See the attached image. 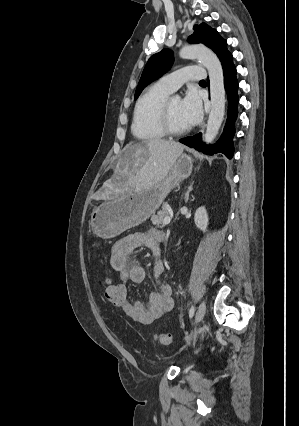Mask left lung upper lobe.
I'll return each instance as SVG.
<instances>
[{"label":"left lung upper lobe","instance_id":"1","mask_svg":"<svg viewBox=\"0 0 299 426\" xmlns=\"http://www.w3.org/2000/svg\"><path fill=\"white\" fill-rule=\"evenodd\" d=\"M193 29L194 33L188 38L190 43L204 44L212 49L217 56L221 51L227 49L226 40L220 37L218 32L207 24L201 23L200 25H194ZM173 62L174 57L170 49H163L152 55L142 72L134 98L136 99L149 83L165 74L170 69Z\"/></svg>","mask_w":299,"mask_h":426}]
</instances>
